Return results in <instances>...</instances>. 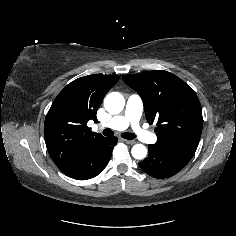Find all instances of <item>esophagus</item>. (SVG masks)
Segmentation results:
<instances>
[{
	"label": "esophagus",
	"mask_w": 236,
	"mask_h": 236,
	"mask_svg": "<svg viewBox=\"0 0 236 236\" xmlns=\"http://www.w3.org/2000/svg\"><path fill=\"white\" fill-rule=\"evenodd\" d=\"M123 141H124L126 144H130V145L135 144V141H134V140L123 139Z\"/></svg>",
	"instance_id": "obj_1"
}]
</instances>
